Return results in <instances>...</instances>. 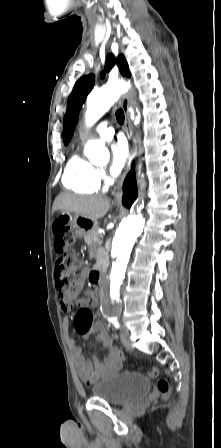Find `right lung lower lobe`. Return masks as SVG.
Wrapping results in <instances>:
<instances>
[{"label":"right lung lower lobe","instance_id":"obj_1","mask_svg":"<svg viewBox=\"0 0 221 448\" xmlns=\"http://www.w3.org/2000/svg\"><path fill=\"white\" fill-rule=\"evenodd\" d=\"M137 198V186L135 172L132 170L126 177L123 185L122 203L130 208Z\"/></svg>","mask_w":221,"mask_h":448}]
</instances>
